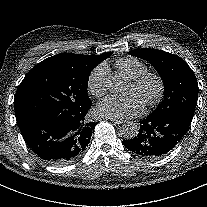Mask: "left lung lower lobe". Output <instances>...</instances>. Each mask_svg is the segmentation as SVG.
Wrapping results in <instances>:
<instances>
[{"mask_svg":"<svg viewBox=\"0 0 207 207\" xmlns=\"http://www.w3.org/2000/svg\"><path fill=\"white\" fill-rule=\"evenodd\" d=\"M138 135L123 140L124 146L137 155L154 159L171 151L184 137L190 124L177 115H148L141 121Z\"/></svg>","mask_w":207,"mask_h":207,"instance_id":"0a47b994","label":"left lung lower lobe"}]
</instances>
